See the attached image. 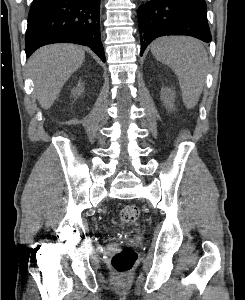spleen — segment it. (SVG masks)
<instances>
[{
    "label": "spleen",
    "instance_id": "spleen-1",
    "mask_svg": "<svg viewBox=\"0 0 245 300\" xmlns=\"http://www.w3.org/2000/svg\"><path fill=\"white\" fill-rule=\"evenodd\" d=\"M151 52L158 61L173 69L185 106L193 108L203 90L208 62L201 42L190 37H162L153 42Z\"/></svg>",
    "mask_w": 245,
    "mask_h": 300
}]
</instances>
